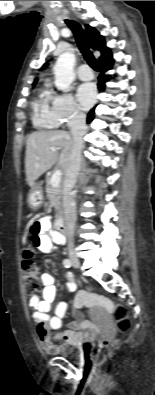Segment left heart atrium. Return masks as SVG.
Returning a JSON list of instances; mask_svg holds the SVG:
<instances>
[{"label": "left heart atrium", "mask_w": 155, "mask_h": 395, "mask_svg": "<svg viewBox=\"0 0 155 395\" xmlns=\"http://www.w3.org/2000/svg\"><path fill=\"white\" fill-rule=\"evenodd\" d=\"M77 98L82 108H89L96 99V88L91 83L82 84L77 91Z\"/></svg>", "instance_id": "obj_1"}]
</instances>
